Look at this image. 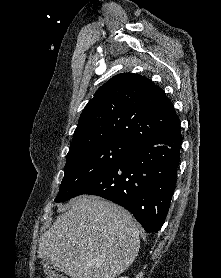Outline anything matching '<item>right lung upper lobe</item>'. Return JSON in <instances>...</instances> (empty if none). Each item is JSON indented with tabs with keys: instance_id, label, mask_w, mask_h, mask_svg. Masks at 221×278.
Segmentation results:
<instances>
[{
	"instance_id": "cb5924a9",
	"label": "right lung upper lobe",
	"mask_w": 221,
	"mask_h": 278,
	"mask_svg": "<svg viewBox=\"0 0 221 278\" xmlns=\"http://www.w3.org/2000/svg\"><path fill=\"white\" fill-rule=\"evenodd\" d=\"M180 125L171 101L149 79L133 73L112 77L84 108L70 149L91 140H135Z\"/></svg>"
}]
</instances>
